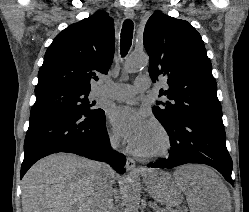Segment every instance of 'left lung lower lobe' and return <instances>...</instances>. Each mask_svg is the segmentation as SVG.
Masks as SVG:
<instances>
[{"instance_id": "obj_1", "label": "left lung lower lobe", "mask_w": 249, "mask_h": 212, "mask_svg": "<svg viewBox=\"0 0 249 212\" xmlns=\"http://www.w3.org/2000/svg\"><path fill=\"white\" fill-rule=\"evenodd\" d=\"M170 136V156L149 167L172 168L186 163H201L217 169L232 184V159L226 148L222 116L182 115L169 123L161 122Z\"/></svg>"}]
</instances>
